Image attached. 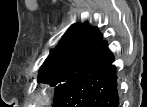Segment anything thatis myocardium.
Returning <instances> with one entry per match:
<instances>
[{"mask_svg": "<svg viewBox=\"0 0 147 107\" xmlns=\"http://www.w3.org/2000/svg\"><path fill=\"white\" fill-rule=\"evenodd\" d=\"M51 99V91L48 89H43L38 94V100L36 101L39 104H47Z\"/></svg>", "mask_w": 147, "mask_h": 107, "instance_id": "myocardium-1", "label": "myocardium"}]
</instances>
